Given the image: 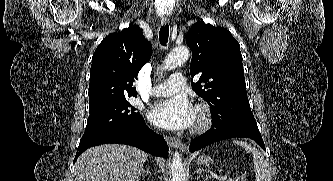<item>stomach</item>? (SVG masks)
I'll list each match as a JSON object with an SVG mask.
<instances>
[{"label":"stomach","instance_id":"1","mask_svg":"<svg viewBox=\"0 0 333 181\" xmlns=\"http://www.w3.org/2000/svg\"><path fill=\"white\" fill-rule=\"evenodd\" d=\"M197 164L200 166H209L213 164V160L211 157L203 155L197 159Z\"/></svg>","mask_w":333,"mask_h":181}]
</instances>
